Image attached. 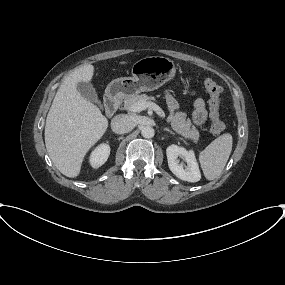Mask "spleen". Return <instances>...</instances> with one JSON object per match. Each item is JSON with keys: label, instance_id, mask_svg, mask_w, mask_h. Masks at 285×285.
Here are the masks:
<instances>
[{"label": "spleen", "instance_id": "spleen-1", "mask_svg": "<svg viewBox=\"0 0 285 285\" xmlns=\"http://www.w3.org/2000/svg\"><path fill=\"white\" fill-rule=\"evenodd\" d=\"M232 144V135L225 133L200 152L199 162L207 180H214L221 174L231 154Z\"/></svg>", "mask_w": 285, "mask_h": 285}]
</instances>
